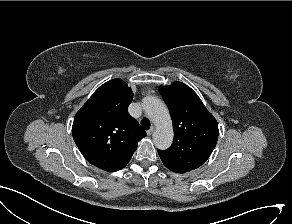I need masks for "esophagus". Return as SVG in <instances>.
<instances>
[{"label": "esophagus", "instance_id": "1", "mask_svg": "<svg viewBox=\"0 0 292 224\" xmlns=\"http://www.w3.org/2000/svg\"><path fill=\"white\" fill-rule=\"evenodd\" d=\"M155 127L152 126L148 131H147V135L151 136L154 133Z\"/></svg>", "mask_w": 292, "mask_h": 224}]
</instances>
